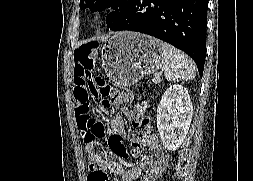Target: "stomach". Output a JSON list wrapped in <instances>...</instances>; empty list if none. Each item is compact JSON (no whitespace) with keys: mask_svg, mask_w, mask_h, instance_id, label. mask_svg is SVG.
<instances>
[{"mask_svg":"<svg viewBox=\"0 0 253 181\" xmlns=\"http://www.w3.org/2000/svg\"><path fill=\"white\" fill-rule=\"evenodd\" d=\"M162 42L135 32H118L101 49L102 67L115 85L132 86L162 64Z\"/></svg>","mask_w":253,"mask_h":181,"instance_id":"1","label":"stomach"}]
</instances>
